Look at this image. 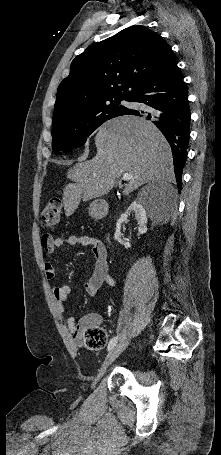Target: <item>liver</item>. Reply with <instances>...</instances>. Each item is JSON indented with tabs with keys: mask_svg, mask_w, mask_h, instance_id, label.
Masks as SVG:
<instances>
[{
	"mask_svg": "<svg viewBox=\"0 0 221 455\" xmlns=\"http://www.w3.org/2000/svg\"><path fill=\"white\" fill-rule=\"evenodd\" d=\"M96 156L77 163L68 172L69 183L63 190L65 215H72L81 200L104 196L115 180L125 173L132 179L123 194L153 180L173 181L170 146L150 121L132 115L120 116L104 123L95 137Z\"/></svg>",
	"mask_w": 221,
	"mask_h": 455,
	"instance_id": "obj_1",
	"label": "liver"
}]
</instances>
